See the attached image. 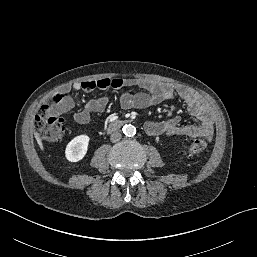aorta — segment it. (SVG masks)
<instances>
[{
	"label": "aorta",
	"mask_w": 257,
	"mask_h": 257,
	"mask_svg": "<svg viewBox=\"0 0 257 257\" xmlns=\"http://www.w3.org/2000/svg\"><path fill=\"white\" fill-rule=\"evenodd\" d=\"M123 133L126 135V136H133L136 134V128L135 126L131 125V124H128V125H125L123 127Z\"/></svg>",
	"instance_id": "1"
}]
</instances>
